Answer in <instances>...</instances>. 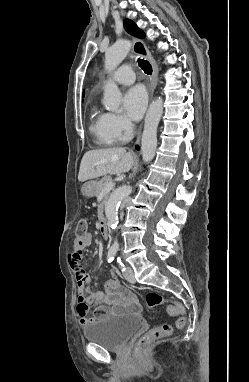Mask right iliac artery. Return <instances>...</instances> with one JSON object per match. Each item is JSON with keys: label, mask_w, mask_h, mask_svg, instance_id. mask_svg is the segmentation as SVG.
Returning a JSON list of instances; mask_svg holds the SVG:
<instances>
[{"label": "right iliac artery", "mask_w": 249, "mask_h": 382, "mask_svg": "<svg viewBox=\"0 0 249 382\" xmlns=\"http://www.w3.org/2000/svg\"><path fill=\"white\" fill-rule=\"evenodd\" d=\"M115 255H116V250H109L108 256H107L108 262H112L114 260Z\"/></svg>", "instance_id": "right-iliac-artery-1"}]
</instances>
